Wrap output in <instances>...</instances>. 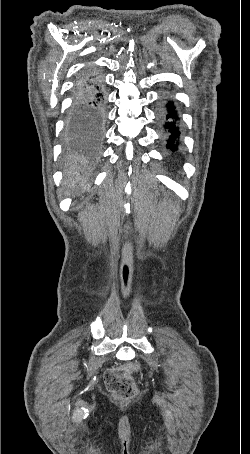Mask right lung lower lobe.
<instances>
[{
  "instance_id": "1",
  "label": "right lung lower lobe",
  "mask_w": 250,
  "mask_h": 454,
  "mask_svg": "<svg viewBox=\"0 0 250 454\" xmlns=\"http://www.w3.org/2000/svg\"><path fill=\"white\" fill-rule=\"evenodd\" d=\"M106 122V98L101 73L93 66L83 68L75 82L68 126L79 142L99 146Z\"/></svg>"
}]
</instances>
